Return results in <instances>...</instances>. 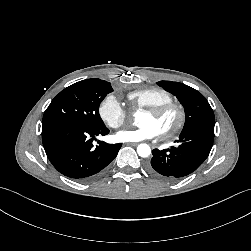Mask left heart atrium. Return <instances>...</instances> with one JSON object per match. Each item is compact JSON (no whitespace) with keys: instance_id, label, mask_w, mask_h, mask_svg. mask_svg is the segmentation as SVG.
<instances>
[{"instance_id":"39dd6f15","label":"left heart atrium","mask_w":251,"mask_h":251,"mask_svg":"<svg viewBox=\"0 0 251 251\" xmlns=\"http://www.w3.org/2000/svg\"><path fill=\"white\" fill-rule=\"evenodd\" d=\"M158 130L151 124H145L138 128L124 129L116 133L115 138L121 142H138L155 138Z\"/></svg>"}]
</instances>
